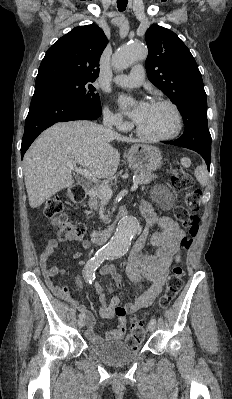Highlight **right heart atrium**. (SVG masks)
<instances>
[{"label":"right heart atrium","instance_id":"1","mask_svg":"<svg viewBox=\"0 0 232 399\" xmlns=\"http://www.w3.org/2000/svg\"><path fill=\"white\" fill-rule=\"evenodd\" d=\"M104 117L106 122H116L117 127L127 126L119 114L113 113L110 110H105Z\"/></svg>","mask_w":232,"mask_h":399}]
</instances>
